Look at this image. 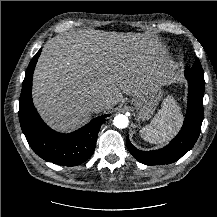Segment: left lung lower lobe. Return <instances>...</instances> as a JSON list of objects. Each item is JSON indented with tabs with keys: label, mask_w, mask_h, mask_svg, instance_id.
Segmentation results:
<instances>
[{
	"label": "left lung lower lobe",
	"mask_w": 217,
	"mask_h": 217,
	"mask_svg": "<svg viewBox=\"0 0 217 217\" xmlns=\"http://www.w3.org/2000/svg\"><path fill=\"white\" fill-rule=\"evenodd\" d=\"M185 77L189 83L188 109L183 127L178 135L166 147L155 151L136 149L127 136V148L139 162L146 165L173 163L185 155L198 139L203 121L202 101L205 81L199 80L188 66L185 68Z\"/></svg>",
	"instance_id": "obj_1"
}]
</instances>
